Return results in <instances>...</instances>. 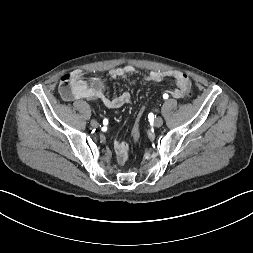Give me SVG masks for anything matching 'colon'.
I'll return each mask as SVG.
<instances>
[{"mask_svg":"<svg viewBox=\"0 0 253 253\" xmlns=\"http://www.w3.org/2000/svg\"><path fill=\"white\" fill-rule=\"evenodd\" d=\"M146 109H147V106L145 104H142L136 111V115L138 117L134 123L133 130H132V136L135 142H137L140 138L141 123H142V119H144L147 113Z\"/></svg>","mask_w":253,"mask_h":253,"instance_id":"5ec220e1","label":"colon"}]
</instances>
